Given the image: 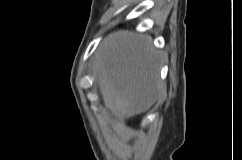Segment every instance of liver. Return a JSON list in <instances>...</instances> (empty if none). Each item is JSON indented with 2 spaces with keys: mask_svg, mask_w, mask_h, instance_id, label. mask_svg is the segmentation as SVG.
<instances>
[{
  "mask_svg": "<svg viewBox=\"0 0 242 160\" xmlns=\"http://www.w3.org/2000/svg\"><path fill=\"white\" fill-rule=\"evenodd\" d=\"M149 36L119 31L100 44L95 61L105 107L117 119L147 111L160 91L159 53Z\"/></svg>",
  "mask_w": 242,
  "mask_h": 160,
  "instance_id": "1",
  "label": "liver"
}]
</instances>
